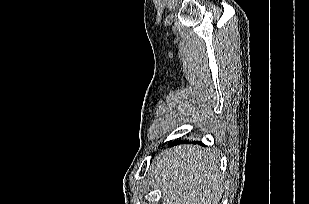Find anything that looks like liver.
I'll return each instance as SVG.
<instances>
[{
  "label": "liver",
  "instance_id": "6515ba94",
  "mask_svg": "<svg viewBox=\"0 0 309 204\" xmlns=\"http://www.w3.org/2000/svg\"><path fill=\"white\" fill-rule=\"evenodd\" d=\"M218 155L197 145L166 149L151 167L163 204H218L224 190Z\"/></svg>",
  "mask_w": 309,
  "mask_h": 204
}]
</instances>
